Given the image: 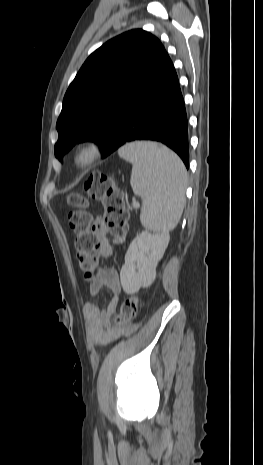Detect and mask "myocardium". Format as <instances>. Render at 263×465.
I'll use <instances>...</instances> for the list:
<instances>
[{"label":"myocardium","instance_id":"obj_1","mask_svg":"<svg viewBox=\"0 0 263 465\" xmlns=\"http://www.w3.org/2000/svg\"><path fill=\"white\" fill-rule=\"evenodd\" d=\"M103 154V144L95 138L77 142L72 150L73 164L80 169L93 165Z\"/></svg>","mask_w":263,"mask_h":465}]
</instances>
